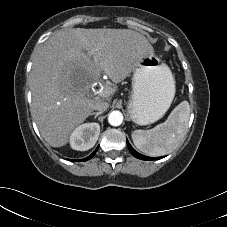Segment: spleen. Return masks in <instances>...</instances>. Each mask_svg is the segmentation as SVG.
Wrapping results in <instances>:
<instances>
[{
  "mask_svg": "<svg viewBox=\"0 0 227 227\" xmlns=\"http://www.w3.org/2000/svg\"><path fill=\"white\" fill-rule=\"evenodd\" d=\"M190 117V106L182 101L161 123L150 130H135L132 140L138 150L149 156H162L174 150L183 140Z\"/></svg>",
  "mask_w": 227,
  "mask_h": 227,
  "instance_id": "spleen-1",
  "label": "spleen"
}]
</instances>
